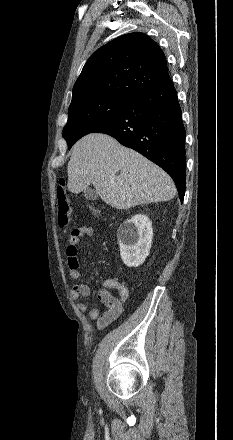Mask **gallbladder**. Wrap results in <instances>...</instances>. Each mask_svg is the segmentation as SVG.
<instances>
[{
	"label": "gallbladder",
	"mask_w": 233,
	"mask_h": 440,
	"mask_svg": "<svg viewBox=\"0 0 233 440\" xmlns=\"http://www.w3.org/2000/svg\"><path fill=\"white\" fill-rule=\"evenodd\" d=\"M83 193L88 200H97L99 198L97 191L92 187H86Z\"/></svg>",
	"instance_id": "1"
}]
</instances>
